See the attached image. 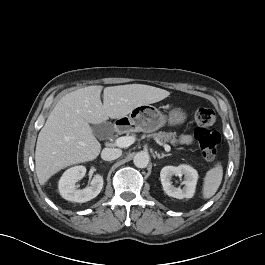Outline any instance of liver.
<instances>
[{
  "label": "liver",
  "mask_w": 265,
  "mask_h": 265,
  "mask_svg": "<svg viewBox=\"0 0 265 265\" xmlns=\"http://www.w3.org/2000/svg\"><path fill=\"white\" fill-rule=\"evenodd\" d=\"M88 86L63 96L41 129L35 150V170L41 185L68 166L92 161L101 151L91 124L117 119L134 108L159 102L170 95L164 89L128 84L104 88Z\"/></svg>",
  "instance_id": "6515ba94"
}]
</instances>
